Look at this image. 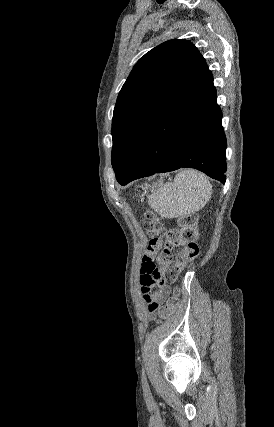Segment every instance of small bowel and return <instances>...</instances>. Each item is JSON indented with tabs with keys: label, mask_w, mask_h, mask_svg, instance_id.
Segmentation results:
<instances>
[{
	"label": "small bowel",
	"mask_w": 274,
	"mask_h": 427,
	"mask_svg": "<svg viewBox=\"0 0 274 427\" xmlns=\"http://www.w3.org/2000/svg\"><path fill=\"white\" fill-rule=\"evenodd\" d=\"M145 250H148V247H145ZM149 250L153 251L152 253L146 252L143 255L140 266V292L145 303L146 312L154 318V307L155 305H160L166 297L168 293L166 284H172L174 278H178L180 264L177 261H166L164 263L165 269H161L159 264H148L153 261L152 254L155 257L161 254L158 248L153 249V247H149ZM164 254L173 257L176 251H164ZM149 273H155L156 277L150 280ZM158 278H162V280ZM154 287L156 288L155 292H153Z\"/></svg>",
	"instance_id": "small-bowel-1"
}]
</instances>
